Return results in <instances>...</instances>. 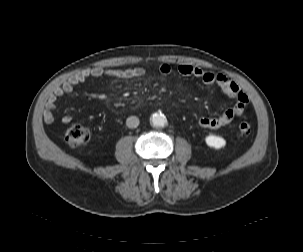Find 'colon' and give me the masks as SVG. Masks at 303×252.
Masks as SVG:
<instances>
[{
  "instance_id": "obj_1",
  "label": "colon",
  "mask_w": 303,
  "mask_h": 252,
  "mask_svg": "<svg viewBox=\"0 0 303 252\" xmlns=\"http://www.w3.org/2000/svg\"><path fill=\"white\" fill-rule=\"evenodd\" d=\"M238 133L242 136H246L251 131V124L248 121H242L238 124ZM88 130L79 124L70 125L65 133V139L69 144L82 145L88 139Z\"/></svg>"
}]
</instances>
